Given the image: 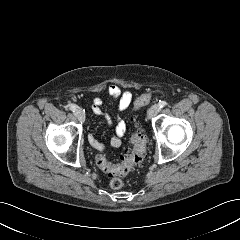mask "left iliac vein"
Here are the masks:
<instances>
[{"mask_svg":"<svg viewBox=\"0 0 240 240\" xmlns=\"http://www.w3.org/2000/svg\"><path fill=\"white\" fill-rule=\"evenodd\" d=\"M160 112V106L159 105H153L149 111H148V116L150 118L156 116Z\"/></svg>","mask_w":240,"mask_h":240,"instance_id":"obj_1","label":"left iliac vein"}]
</instances>
